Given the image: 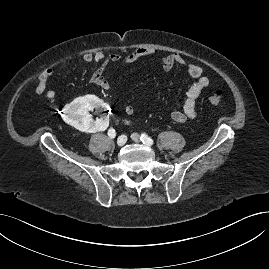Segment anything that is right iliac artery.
<instances>
[{
    "mask_svg": "<svg viewBox=\"0 0 269 269\" xmlns=\"http://www.w3.org/2000/svg\"><path fill=\"white\" fill-rule=\"evenodd\" d=\"M108 136H109L110 138H115V136H116L115 129L110 128V129L108 130Z\"/></svg>",
    "mask_w": 269,
    "mask_h": 269,
    "instance_id": "1",
    "label": "right iliac artery"
}]
</instances>
